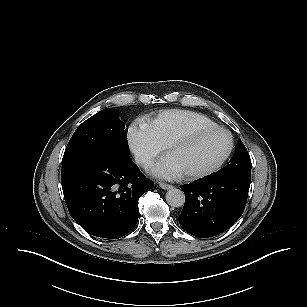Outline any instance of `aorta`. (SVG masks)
Listing matches in <instances>:
<instances>
[{
    "mask_svg": "<svg viewBox=\"0 0 307 307\" xmlns=\"http://www.w3.org/2000/svg\"><path fill=\"white\" fill-rule=\"evenodd\" d=\"M166 201L171 207H181L185 203V194L181 189L170 188L166 193Z\"/></svg>",
    "mask_w": 307,
    "mask_h": 307,
    "instance_id": "1",
    "label": "aorta"
}]
</instances>
